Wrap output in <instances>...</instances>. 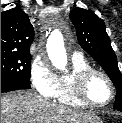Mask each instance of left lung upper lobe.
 I'll use <instances>...</instances> for the list:
<instances>
[{"mask_svg":"<svg viewBox=\"0 0 122 123\" xmlns=\"http://www.w3.org/2000/svg\"><path fill=\"white\" fill-rule=\"evenodd\" d=\"M70 19L76 28L81 47L105 70L116 87L114 108L122 109V74L105 30V23L93 11L73 9Z\"/></svg>","mask_w":122,"mask_h":123,"instance_id":"obj_1","label":"left lung upper lobe"}]
</instances>
